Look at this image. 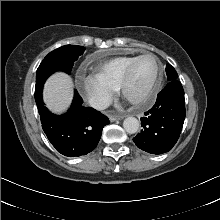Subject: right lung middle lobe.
<instances>
[{
	"mask_svg": "<svg viewBox=\"0 0 220 220\" xmlns=\"http://www.w3.org/2000/svg\"><path fill=\"white\" fill-rule=\"evenodd\" d=\"M85 47L65 45L50 52L41 62L36 74V89L43 86L49 75L55 71L71 72L74 62L83 54Z\"/></svg>",
	"mask_w": 220,
	"mask_h": 220,
	"instance_id": "1",
	"label": "right lung middle lobe"
}]
</instances>
